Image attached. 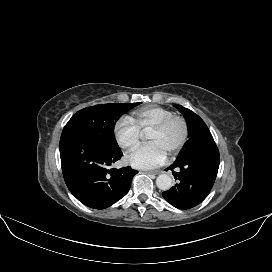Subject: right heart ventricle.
Returning a JSON list of instances; mask_svg holds the SVG:
<instances>
[{
	"label": "right heart ventricle",
	"mask_w": 272,
	"mask_h": 272,
	"mask_svg": "<svg viewBox=\"0 0 272 272\" xmlns=\"http://www.w3.org/2000/svg\"><path fill=\"white\" fill-rule=\"evenodd\" d=\"M173 115L172 111L160 106H144L131 113L130 120L140 131L151 129L163 119Z\"/></svg>",
	"instance_id": "1"
}]
</instances>
